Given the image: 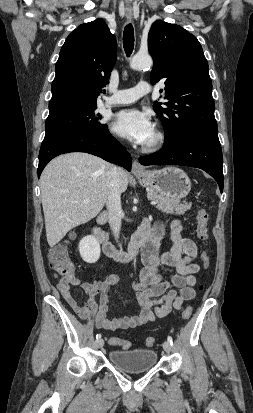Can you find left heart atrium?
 Masks as SVG:
<instances>
[{"instance_id":"39dd6f15","label":"left heart atrium","mask_w":253,"mask_h":413,"mask_svg":"<svg viewBox=\"0 0 253 413\" xmlns=\"http://www.w3.org/2000/svg\"><path fill=\"white\" fill-rule=\"evenodd\" d=\"M111 129L116 134L142 145L146 144L155 133L151 116L138 109L117 112L112 119Z\"/></svg>"}]
</instances>
